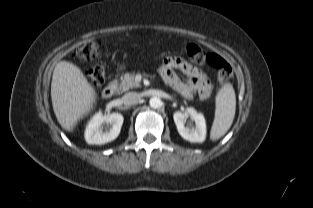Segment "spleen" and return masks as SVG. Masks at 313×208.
<instances>
[{
    "instance_id": "spleen-1",
    "label": "spleen",
    "mask_w": 313,
    "mask_h": 208,
    "mask_svg": "<svg viewBox=\"0 0 313 208\" xmlns=\"http://www.w3.org/2000/svg\"><path fill=\"white\" fill-rule=\"evenodd\" d=\"M215 118L210 131L212 141L220 139L231 127L235 111L236 96L231 84H224L216 95Z\"/></svg>"
}]
</instances>
